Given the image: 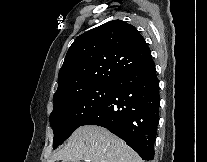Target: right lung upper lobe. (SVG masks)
Returning a JSON list of instances; mask_svg holds the SVG:
<instances>
[{"mask_svg":"<svg viewBox=\"0 0 207 162\" xmlns=\"http://www.w3.org/2000/svg\"><path fill=\"white\" fill-rule=\"evenodd\" d=\"M152 59L144 38L124 21L113 20L80 35L70 46L54 99L88 87L114 84Z\"/></svg>","mask_w":207,"mask_h":162,"instance_id":"right-lung-upper-lobe-1","label":"right lung upper lobe"}]
</instances>
